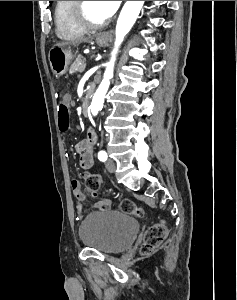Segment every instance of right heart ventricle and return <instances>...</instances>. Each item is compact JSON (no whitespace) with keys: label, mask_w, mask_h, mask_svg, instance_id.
Segmentation results:
<instances>
[{"label":"right heart ventricle","mask_w":237,"mask_h":300,"mask_svg":"<svg viewBox=\"0 0 237 300\" xmlns=\"http://www.w3.org/2000/svg\"><path fill=\"white\" fill-rule=\"evenodd\" d=\"M73 1H56L54 8V18L56 33L60 38L69 39L82 36L86 29L79 26L72 15Z\"/></svg>","instance_id":"1"}]
</instances>
